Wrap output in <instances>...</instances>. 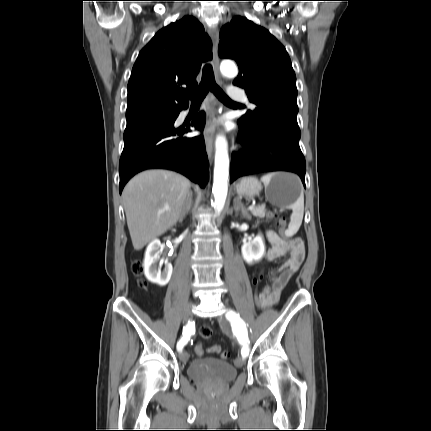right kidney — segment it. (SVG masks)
<instances>
[{
	"instance_id": "ca27d5eb",
	"label": "right kidney",
	"mask_w": 431,
	"mask_h": 431,
	"mask_svg": "<svg viewBox=\"0 0 431 431\" xmlns=\"http://www.w3.org/2000/svg\"><path fill=\"white\" fill-rule=\"evenodd\" d=\"M160 246L161 242L158 239L153 240L147 246L144 258V274L150 282L165 286L170 281L173 267L170 263L165 262V268L161 271L164 260L160 259Z\"/></svg>"
}]
</instances>
